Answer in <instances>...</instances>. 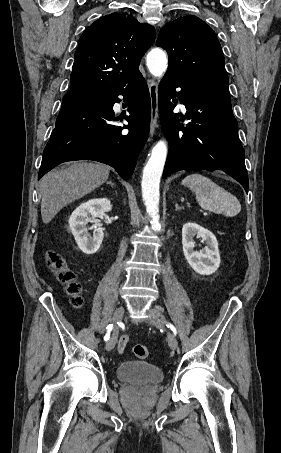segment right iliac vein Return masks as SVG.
Wrapping results in <instances>:
<instances>
[{
    "mask_svg": "<svg viewBox=\"0 0 281 453\" xmlns=\"http://www.w3.org/2000/svg\"><path fill=\"white\" fill-rule=\"evenodd\" d=\"M123 312H124V309L123 307L122 308H116L115 309V312H114V316H113V319L116 323H119L122 319V315H123ZM116 335L114 334L112 336V339H110V341H107L106 343V351L108 350H113L116 346V342H117V339H116Z\"/></svg>",
    "mask_w": 281,
    "mask_h": 453,
    "instance_id": "right-iliac-vein-1",
    "label": "right iliac vein"
}]
</instances>
